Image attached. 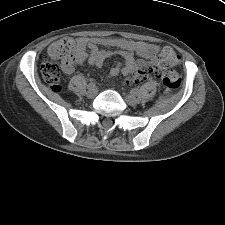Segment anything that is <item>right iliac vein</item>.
<instances>
[{"label":"right iliac vein","instance_id":"right-iliac-vein-1","mask_svg":"<svg viewBox=\"0 0 225 225\" xmlns=\"http://www.w3.org/2000/svg\"><path fill=\"white\" fill-rule=\"evenodd\" d=\"M98 89L96 86H92L90 88H88L87 91V97L88 98H94L97 95Z\"/></svg>","mask_w":225,"mask_h":225}]
</instances>
